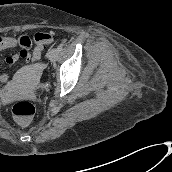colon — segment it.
I'll use <instances>...</instances> for the list:
<instances>
[{"label":"colon","instance_id":"colon-1","mask_svg":"<svg viewBox=\"0 0 172 172\" xmlns=\"http://www.w3.org/2000/svg\"><path fill=\"white\" fill-rule=\"evenodd\" d=\"M39 39L44 42H51L53 40V34L45 32L39 37ZM12 113L20 124L27 125L34 116L35 107L28 101H19L14 104Z\"/></svg>","mask_w":172,"mask_h":172}]
</instances>
